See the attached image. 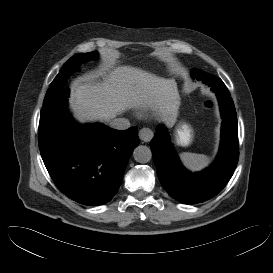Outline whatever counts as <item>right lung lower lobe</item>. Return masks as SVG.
<instances>
[{
    "instance_id": "98d812e1",
    "label": "right lung lower lobe",
    "mask_w": 273,
    "mask_h": 273,
    "mask_svg": "<svg viewBox=\"0 0 273 273\" xmlns=\"http://www.w3.org/2000/svg\"><path fill=\"white\" fill-rule=\"evenodd\" d=\"M64 88L40 112L38 143L58 189L84 205L107 203L116 194L127 162L138 146L137 128L115 130L100 124L78 125L67 111Z\"/></svg>"
}]
</instances>
